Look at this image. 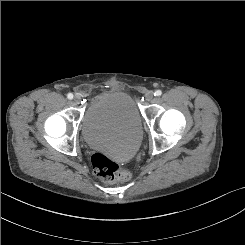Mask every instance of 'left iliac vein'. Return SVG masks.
Here are the masks:
<instances>
[{"label": "left iliac vein", "instance_id": "left-iliac-vein-1", "mask_svg": "<svg viewBox=\"0 0 245 245\" xmlns=\"http://www.w3.org/2000/svg\"><path fill=\"white\" fill-rule=\"evenodd\" d=\"M153 97H154L153 91H148V92L145 94V98H146V100H148V101L152 100Z\"/></svg>", "mask_w": 245, "mask_h": 245}]
</instances>
